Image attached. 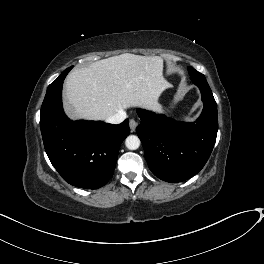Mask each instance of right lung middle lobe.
<instances>
[{
	"label": "right lung middle lobe",
	"mask_w": 264,
	"mask_h": 264,
	"mask_svg": "<svg viewBox=\"0 0 264 264\" xmlns=\"http://www.w3.org/2000/svg\"><path fill=\"white\" fill-rule=\"evenodd\" d=\"M72 67H73V66H71V67L67 68L65 71H63L62 74H61L56 80H58V79H59L61 76H63L64 74H67V73L72 69ZM56 80H55V81H56ZM55 81H54L52 84H55Z\"/></svg>",
	"instance_id": "right-lung-middle-lobe-1"
}]
</instances>
